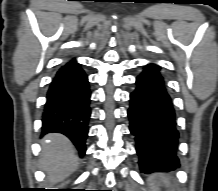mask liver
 <instances>
[{"label":"liver","instance_id":"liver-1","mask_svg":"<svg viewBox=\"0 0 218 191\" xmlns=\"http://www.w3.org/2000/svg\"><path fill=\"white\" fill-rule=\"evenodd\" d=\"M40 167L50 184L68 177L78 166V156L71 141L61 134H48L41 142Z\"/></svg>","mask_w":218,"mask_h":191}]
</instances>
